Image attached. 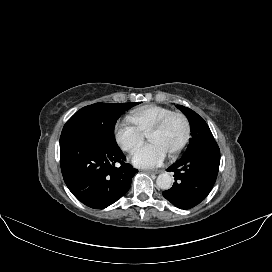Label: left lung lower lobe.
<instances>
[{"mask_svg":"<svg viewBox=\"0 0 272 272\" xmlns=\"http://www.w3.org/2000/svg\"><path fill=\"white\" fill-rule=\"evenodd\" d=\"M220 149L216 141L190 150L167 171L174 172L175 182L163 196L180 209H190L202 202L211 191L219 170Z\"/></svg>","mask_w":272,"mask_h":272,"instance_id":"obj_1","label":"left lung lower lobe"}]
</instances>
